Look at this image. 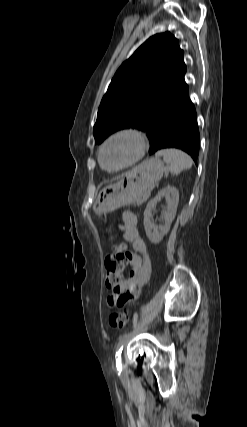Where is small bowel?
I'll list each match as a JSON object with an SVG mask.
<instances>
[{
    "mask_svg": "<svg viewBox=\"0 0 247 427\" xmlns=\"http://www.w3.org/2000/svg\"><path fill=\"white\" fill-rule=\"evenodd\" d=\"M120 229L124 240L131 243L134 252L126 255L130 265L129 276L113 288L107 298V304L110 307L123 306L136 300L140 295L141 287L149 281L153 271L152 257L139 234L136 215L131 212L123 213Z\"/></svg>",
    "mask_w": 247,
    "mask_h": 427,
    "instance_id": "small-bowel-1",
    "label": "small bowel"
}]
</instances>
